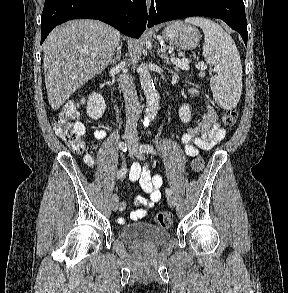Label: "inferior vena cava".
I'll return each mask as SVG.
<instances>
[{"mask_svg": "<svg viewBox=\"0 0 288 293\" xmlns=\"http://www.w3.org/2000/svg\"><path fill=\"white\" fill-rule=\"evenodd\" d=\"M125 65V62H121L116 68L120 71L125 68ZM119 86L124 95L126 108L125 136L137 141V121L140 115V103L133 81L126 72L119 76Z\"/></svg>", "mask_w": 288, "mask_h": 293, "instance_id": "602c4592", "label": "inferior vena cava"}]
</instances>
